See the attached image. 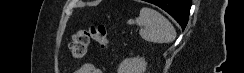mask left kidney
<instances>
[{
  "instance_id": "obj_1",
  "label": "left kidney",
  "mask_w": 244,
  "mask_h": 73,
  "mask_svg": "<svg viewBox=\"0 0 244 73\" xmlns=\"http://www.w3.org/2000/svg\"><path fill=\"white\" fill-rule=\"evenodd\" d=\"M147 63L142 57L124 59L117 70V73H145Z\"/></svg>"
}]
</instances>
